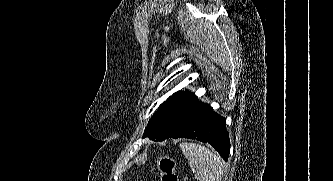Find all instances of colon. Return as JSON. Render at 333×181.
<instances>
[{
  "instance_id": "obj_1",
  "label": "colon",
  "mask_w": 333,
  "mask_h": 181,
  "mask_svg": "<svg viewBox=\"0 0 333 181\" xmlns=\"http://www.w3.org/2000/svg\"><path fill=\"white\" fill-rule=\"evenodd\" d=\"M156 165L160 173V181H178V176L175 171V162L171 157H158Z\"/></svg>"
}]
</instances>
